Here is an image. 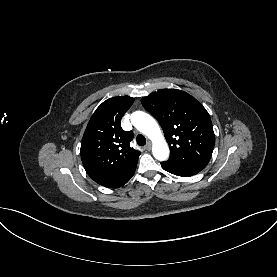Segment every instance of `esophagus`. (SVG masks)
<instances>
[{
    "label": "esophagus",
    "mask_w": 277,
    "mask_h": 277,
    "mask_svg": "<svg viewBox=\"0 0 277 277\" xmlns=\"http://www.w3.org/2000/svg\"><path fill=\"white\" fill-rule=\"evenodd\" d=\"M151 147H152V144H151L150 142H148V143L146 144V146H145V149H146V150H150Z\"/></svg>",
    "instance_id": "esophagus-1"
}]
</instances>
